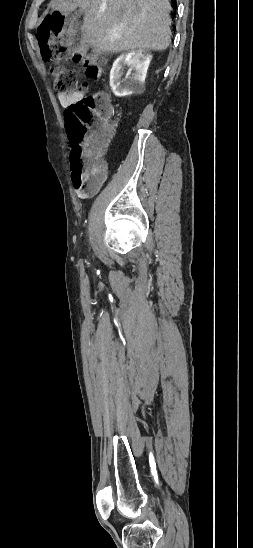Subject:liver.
Wrapping results in <instances>:
<instances>
[{
    "mask_svg": "<svg viewBox=\"0 0 253 548\" xmlns=\"http://www.w3.org/2000/svg\"><path fill=\"white\" fill-rule=\"evenodd\" d=\"M84 11L82 40L98 52L166 50L171 42L168 0H51L52 11Z\"/></svg>",
    "mask_w": 253,
    "mask_h": 548,
    "instance_id": "liver-1",
    "label": "liver"
}]
</instances>
